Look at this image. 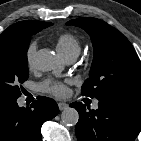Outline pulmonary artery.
<instances>
[{
	"label": "pulmonary artery",
	"instance_id": "pulmonary-artery-1",
	"mask_svg": "<svg viewBox=\"0 0 141 141\" xmlns=\"http://www.w3.org/2000/svg\"><path fill=\"white\" fill-rule=\"evenodd\" d=\"M76 58H77V57H67V58H65V61H66L68 64H71V63H73V62L76 60ZM93 108H94V109H97V108H98V102H95V103L93 104Z\"/></svg>",
	"mask_w": 141,
	"mask_h": 141
}]
</instances>
